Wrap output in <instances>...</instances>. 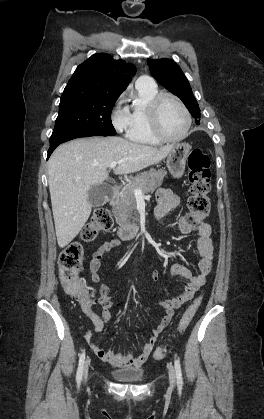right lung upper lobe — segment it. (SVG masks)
Segmentation results:
<instances>
[{
	"label": "right lung upper lobe",
	"mask_w": 264,
	"mask_h": 419,
	"mask_svg": "<svg viewBox=\"0 0 264 419\" xmlns=\"http://www.w3.org/2000/svg\"><path fill=\"white\" fill-rule=\"evenodd\" d=\"M135 72L133 64L97 53L77 67L66 88L84 87L97 92L121 94Z\"/></svg>",
	"instance_id": "cb5924a9"
}]
</instances>
